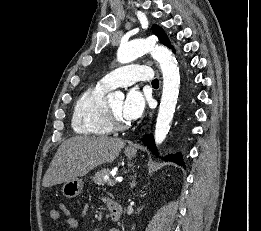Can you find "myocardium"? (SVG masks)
Instances as JSON below:
<instances>
[{
  "mask_svg": "<svg viewBox=\"0 0 261 231\" xmlns=\"http://www.w3.org/2000/svg\"><path fill=\"white\" fill-rule=\"evenodd\" d=\"M106 112L107 121L113 130L123 131L130 128V122L122 121L121 119H119V117L115 114L109 103L106 104Z\"/></svg>",
  "mask_w": 261,
  "mask_h": 231,
  "instance_id": "obj_1",
  "label": "myocardium"
}]
</instances>
